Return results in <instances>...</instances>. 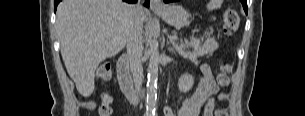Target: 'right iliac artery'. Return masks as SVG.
Segmentation results:
<instances>
[{"label":"right iliac artery","mask_w":305,"mask_h":116,"mask_svg":"<svg viewBox=\"0 0 305 116\" xmlns=\"http://www.w3.org/2000/svg\"><path fill=\"white\" fill-rule=\"evenodd\" d=\"M145 116H151L150 114H145Z\"/></svg>","instance_id":"obj_1"}]
</instances>
